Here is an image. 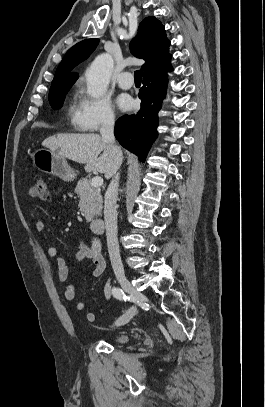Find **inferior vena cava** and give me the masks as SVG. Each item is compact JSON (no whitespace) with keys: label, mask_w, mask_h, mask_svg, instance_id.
I'll list each match as a JSON object with an SVG mask.
<instances>
[{"label":"inferior vena cava","mask_w":265,"mask_h":407,"mask_svg":"<svg viewBox=\"0 0 265 407\" xmlns=\"http://www.w3.org/2000/svg\"><path fill=\"white\" fill-rule=\"evenodd\" d=\"M114 115L107 113L102 120L100 134L103 141L110 144L115 151L117 166L113 173L112 181L110 182L106 193L104 202V220L106 226L107 247L111 265L116 277H124V268L120 257L118 237H117V211L116 201L118 196L119 186V173L117 172L122 162V151L115 144L114 137Z\"/></svg>","instance_id":"602c4592"}]
</instances>
